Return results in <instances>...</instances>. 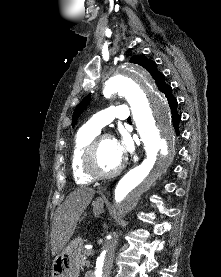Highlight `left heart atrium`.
<instances>
[{"mask_svg":"<svg viewBox=\"0 0 221 277\" xmlns=\"http://www.w3.org/2000/svg\"><path fill=\"white\" fill-rule=\"evenodd\" d=\"M115 144L122 158H124L131 151V144L129 140L126 138L115 141Z\"/></svg>","mask_w":221,"mask_h":277,"instance_id":"39dd6f15","label":"left heart atrium"}]
</instances>
